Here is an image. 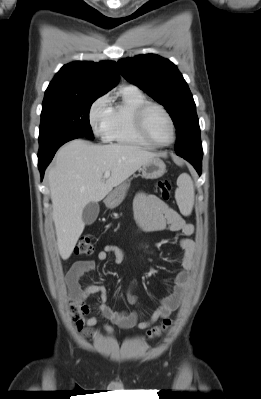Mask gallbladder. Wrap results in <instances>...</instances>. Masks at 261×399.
<instances>
[{"instance_id": "1", "label": "gallbladder", "mask_w": 261, "mask_h": 399, "mask_svg": "<svg viewBox=\"0 0 261 399\" xmlns=\"http://www.w3.org/2000/svg\"><path fill=\"white\" fill-rule=\"evenodd\" d=\"M99 214V204L97 202L88 203L82 212V219L86 225H91L95 222Z\"/></svg>"}]
</instances>
